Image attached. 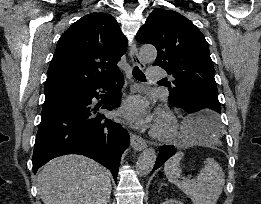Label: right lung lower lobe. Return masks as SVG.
I'll list each match as a JSON object with an SVG mask.
<instances>
[{
  "label": "right lung lower lobe",
  "mask_w": 261,
  "mask_h": 204,
  "mask_svg": "<svg viewBox=\"0 0 261 204\" xmlns=\"http://www.w3.org/2000/svg\"><path fill=\"white\" fill-rule=\"evenodd\" d=\"M118 80V85L100 105L112 110L121 102L123 77L120 72L96 84L45 98L32 157L34 174L55 157L81 154L107 167L117 181L120 158L128 146L129 135L121 125L102 114L95 115L100 106L93 107L92 99H99L97 89H107Z\"/></svg>",
  "instance_id": "right-lung-lower-lobe-1"
}]
</instances>
